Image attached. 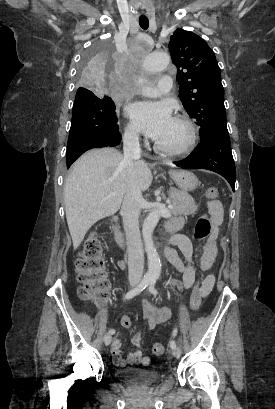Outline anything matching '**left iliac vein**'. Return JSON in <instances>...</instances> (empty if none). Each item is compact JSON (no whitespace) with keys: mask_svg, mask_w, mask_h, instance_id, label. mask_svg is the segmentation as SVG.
<instances>
[{"mask_svg":"<svg viewBox=\"0 0 275 409\" xmlns=\"http://www.w3.org/2000/svg\"><path fill=\"white\" fill-rule=\"evenodd\" d=\"M180 349L179 348H174V349H172V355L174 356V357H179L180 356Z\"/></svg>","mask_w":275,"mask_h":409,"instance_id":"1","label":"left iliac vein"}]
</instances>
